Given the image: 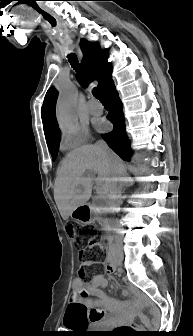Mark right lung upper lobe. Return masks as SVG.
<instances>
[{
  "label": "right lung upper lobe",
  "instance_id": "right-lung-upper-lobe-1",
  "mask_svg": "<svg viewBox=\"0 0 193 336\" xmlns=\"http://www.w3.org/2000/svg\"><path fill=\"white\" fill-rule=\"evenodd\" d=\"M80 46L84 53L82 65L89 73L92 81H99L98 87L103 92L107 85L112 81L111 64L107 61V53L101 51L97 44L85 39L80 41ZM56 100L57 92L54 87H51L45 95L41 109L43 129L47 143L55 137L60 136V131L55 121Z\"/></svg>",
  "mask_w": 193,
  "mask_h": 336
}]
</instances>
